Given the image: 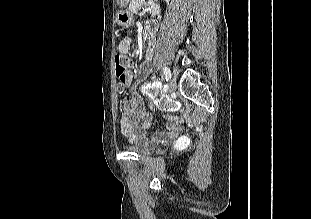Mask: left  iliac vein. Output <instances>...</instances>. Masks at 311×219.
I'll return each mask as SVG.
<instances>
[{
	"mask_svg": "<svg viewBox=\"0 0 311 219\" xmlns=\"http://www.w3.org/2000/svg\"><path fill=\"white\" fill-rule=\"evenodd\" d=\"M176 87H177L176 80L174 78L170 79L168 83V92L173 93L176 90Z\"/></svg>",
	"mask_w": 311,
	"mask_h": 219,
	"instance_id": "4c4485c4",
	"label": "left iliac vein"
}]
</instances>
